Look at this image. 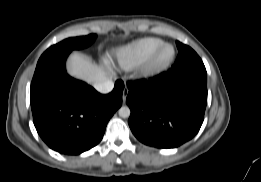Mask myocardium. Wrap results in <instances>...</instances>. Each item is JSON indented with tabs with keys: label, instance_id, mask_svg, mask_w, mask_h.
<instances>
[{
	"label": "myocardium",
	"instance_id": "myocardium-1",
	"mask_svg": "<svg viewBox=\"0 0 261 182\" xmlns=\"http://www.w3.org/2000/svg\"><path fill=\"white\" fill-rule=\"evenodd\" d=\"M168 47L172 49V54L167 60L161 62L159 60L160 55L164 49ZM175 54V47L172 44L163 43L145 62L140 65L138 70V78L141 80H151L158 77L172 64Z\"/></svg>",
	"mask_w": 261,
	"mask_h": 182
}]
</instances>
